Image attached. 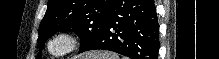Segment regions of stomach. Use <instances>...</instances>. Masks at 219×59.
<instances>
[{
	"label": "stomach",
	"mask_w": 219,
	"mask_h": 59,
	"mask_svg": "<svg viewBox=\"0 0 219 59\" xmlns=\"http://www.w3.org/2000/svg\"><path fill=\"white\" fill-rule=\"evenodd\" d=\"M101 55L103 54L91 53V54H88L87 57L92 58V59H97V58L101 59Z\"/></svg>",
	"instance_id": "0dacf381"
}]
</instances>
